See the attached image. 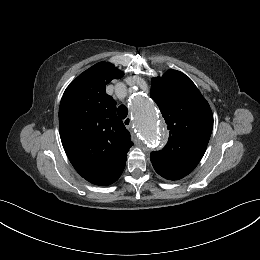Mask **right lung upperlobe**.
<instances>
[{
  "mask_svg": "<svg viewBox=\"0 0 260 260\" xmlns=\"http://www.w3.org/2000/svg\"><path fill=\"white\" fill-rule=\"evenodd\" d=\"M123 75L113 64L99 62L81 73L61 99L62 145L76 171L95 185L108 186L118 180L133 145L116 115V102L106 94V85Z\"/></svg>",
  "mask_w": 260,
  "mask_h": 260,
  "instance_id": "right-lung-upper-lobe-1",
  "label": "right lung upper lobe"
}]
</instances>
